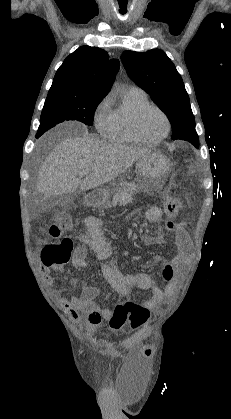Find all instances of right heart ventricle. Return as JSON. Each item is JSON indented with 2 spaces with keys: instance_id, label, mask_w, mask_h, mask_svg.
<instances>
[{
  "instance_id": "obj_1",
  "label": "right heart ventricle",
  "mask_w": 231,
  "mask_h": 419,
  "mask_svg": "<svg viewBox=\"0 0 231 419\" xmlns=\"http://www.w3.org/2000/svg\"><path fill=\"white\" fill-rule=\"evenodd\" d=\"M148 103L147 95L142 90L129 89L125 93L122 105L114 111V129L109 137L112 142L117 144L139 143L133 135L131 119L138 108Z\"/></svg>"
}]
</instances>
